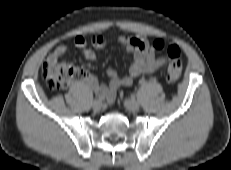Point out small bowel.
<instances>
[{
  "mask_svg": "<svg viewBox=\"0 0 231 170\" xmlns=\"http://www.w3.org/2000/svg\"><path fill=\"white\" fill-rule=\"evenodd\" d=\"M117 41L127 54L132 55L133 61L129 67L128 73L120 76L116 70L112 68L108 69L107 76L110 79L108 85L101 84L95 76L89 73H87L86 77L83 79V82L88 88L96 93L104 95L108 103L114 101L116 91L119 87L131 85L136 77L141 74L152 73L163 67L167 62L165 57L155 55L149 40L142 35L119 36ZM91 43L94 48L99 49L106 45V40L101 34H95L91 39ZM74 45L81 51L86 60L94 61L96 59V53L94 50L87 47V41L83 36H76ZM68 50L69 47L67 45L56 47L55 50L49 54L46 62L57 63Z\"/></svg>",
  "mask_w": 231,
  "mask_h": 170,
  "instance_id": "small-bowel-1",
  "label": "small bowel"
}]
</instances>
